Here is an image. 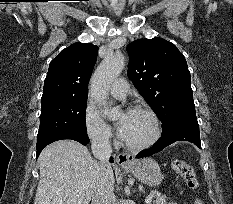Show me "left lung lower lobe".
<instances>
[{
  "instance_id": "obj_1",
  "label": "left lung lower lobe",
  "mask_w": 233,
  "mask_h": 204,
  "mask_svg": "<svg viewBox=\"0 0 233 204\" xmlns=\"http://www.w3.org/2000/svg\"><path fill=\"white\" fill-rule=\"evenodd\" d=\"M181 140L194 143L201 149L200 133H199L198 125L188 124V125L175 126L168 133L166 134L162 133V137L156 142V144L153 147L139 153L136 156V158L150 156L152 154L160 152L166 146Z\"/></svg>"
}]
</instances>
